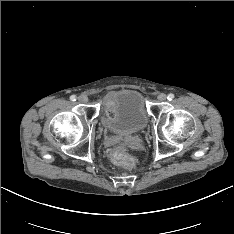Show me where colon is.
Instances as JSON below:
<instances>
[{"label":"colon","instance_id":"1","mask_svg":"<svg viewBox=\"0 0 234 234\" xmlns=\"http://www.w3.org/2000/svg\"><path fill=\"white\" fill-rule=\"evenodd\" d=\"M113 160L117 165L127 168H135L138 165L137 158L130 157L129 153L124 149H118L113 155Z\"/></svg>","mask_w":234,"mask_h":234}]
</instances>
